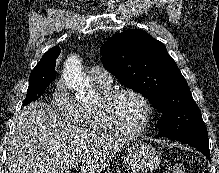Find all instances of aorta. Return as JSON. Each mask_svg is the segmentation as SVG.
<instances>
[{
	"mask_svg": "<svg viewBox=\"0 0 219 173\" xmlns=\"http://www.w3.org/2000/svg\"><path fill=\"white\" fill-rule=\"evenodd\" d=\"M68 73L70 75L66 77V84L68 88L78 95L90 94V83L88 77L82 71L79 62H71L67 67Z\"/></svg>",
	"mask_w": 219,
	"mask_h": 173,
	"instance_id": "aorta-1",
	"label": "aorta"
}]
</instances>
